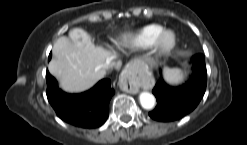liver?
<instances>
[{
  "mask_svg": "<svg viewBox=\"0 0 247 145\" xmlns=\"http://www.w3.org/2000/svg\"><path fill=\"white\" fill-rule=\"evenodd\" d=\"M53 59L49 72L55 76L60 88L68 93H79L90 89L104 74L102 65L110 60L114 65L116 54L95 46L90 36L82 29L69 32V38L59 37L53 45Z\"/></svg>",
  "mask_w": 247,
  "mask_h": 145,
  "instance_id": "obj_1",
  "label": "liver"
}]
</instances>
